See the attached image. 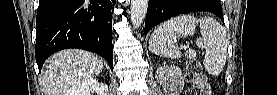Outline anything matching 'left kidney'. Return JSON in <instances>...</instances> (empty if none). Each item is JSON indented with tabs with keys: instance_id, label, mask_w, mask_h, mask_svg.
<instances>
[{
	"instance_id": "5707ae66",
	"label": "left kidney",
	"mask_w": 277,
	"mask_h": 95,
	"mask_svg": "<svg viewBox=\"0 0 277 95\" xmlns=\"http://www.w3.org/2000/svg\"><path fill=\"white\" fill-rule=\"evenodd\" d=\"M156 78L162 85V88L166 91H178L177 85H180V88L183 86L181 76L177 75L171 67L158 68L156 71Z\"/></svg>"
}]
</instances>
